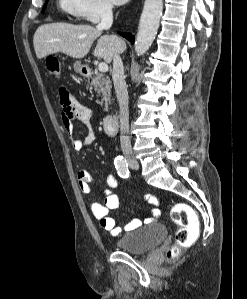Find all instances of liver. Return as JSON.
I'll return each instance as SVG.
<instances>
[{"instance_id":"1","label":"liver","mask_w":247,"mask_h":299,"mask_svg":"<svg viewBox=\"0 0 247 299\" xmlns=\"http://www.w3.org/2000/svg\"><path fill=\"white\" fill-rule=\"evenodd\" d=\"M97 38L93 54L106 63L126 49V43L117 36L101 35V30L91 25L70 23L41 25L34 34L33 45L38 59L58 52L81 59L88 54Z\"/></svg>"}]
</instances>
